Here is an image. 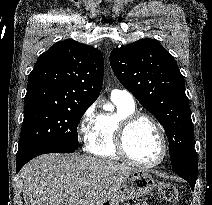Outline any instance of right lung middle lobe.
Wrapping results in <instances>:
<instances>
[{
  "instance_id": "obj_1",
  "label": "right lung middle lobe",
  "mask_w": 212,
  "mask_h": 205,
  "mask_svg": "<svg viewBox=\"0 0 212 205\" xmlns=\"http://www.w3.org/2000/svg\"><path fill=\"white\" fill-rule=\"evenodd\" d=\"M89 106L34 102L24 107L17 154L42 145L78 149L77 126Z\"/></svg>"
}]
</instances>
